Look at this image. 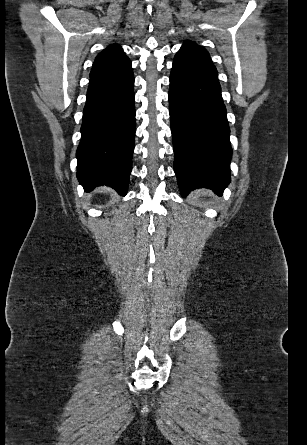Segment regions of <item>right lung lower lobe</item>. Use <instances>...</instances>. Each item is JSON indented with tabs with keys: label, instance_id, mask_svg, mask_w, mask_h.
<instances>
[{
	"label": "right lung lower lobe",
	"instance_id": "98d812e1",
	"mask_svg": "<svg viewBox=\"0 0 307 445\" xmlns=\"http://www.w3.org/2000/svg\"><path fill=\"white\" fill-rule=\"evenodd\" d=\"M131 62L90 78L76 152L77 178L85 191L108 185L127 193L135 136Z\"/></svg>",
	"mask_w": 307,
	"mask_h": 445
}]
</instances>
